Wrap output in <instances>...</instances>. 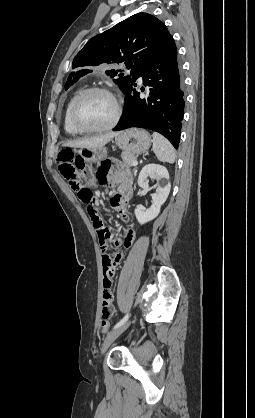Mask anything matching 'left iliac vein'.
<instances>
[{"label":"left iliac vein","instance_id":"4c4485c4","mask_svg":"<svg viewBox=\"0 0 255 418\" xmlns=\"http://www.w3.org/2000/svg\"><path fill=\"white\" fill-rule=\"evenodd\" d=\"M131 324V320L125 322L123 325L117 327L116 329L112 330L108 335L105 337L101 353L103 354L107 348L117 339Z\"/></svg>","mask_w":255,"mask_h":418}]
</instances>
